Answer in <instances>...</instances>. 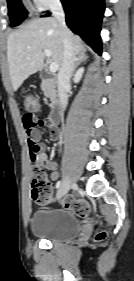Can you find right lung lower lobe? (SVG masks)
I'll return each mask as SVG.
<instances>
[{
    "label": "right lung lower lobe",
    "mask_w": 134,
    "mask_h": 281,
    "mask_svg": "<svg viewBox=\"0 0 134 281\" xmlns=\"http://www.w3.org/2000/svg\"><path fill=\"white\" fill-rule=\"evenodd\" d=\"M61 2L68 27L101 54L100 29L105 10L104 0H61Z\"/></svg>",
    "instance_id": "right-lung-lower-lobe-1"
}]
</instances>
